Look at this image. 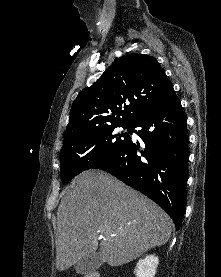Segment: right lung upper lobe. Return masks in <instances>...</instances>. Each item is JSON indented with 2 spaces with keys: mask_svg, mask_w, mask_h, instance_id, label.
Masks as SVG:
<instances>
[{
  "mask_svg": "<svg viewBox=\"0 0 221 277\" xmlns=\"http://www.w3.org/2000/svg\"><path fill=\"white\" fill-rule=\"evenodd\" d=\"M173 90L158 61L133 53L117 60L72 104L65 140L104 125L133 122Z\"/></svg>",
  "mask_w": 221,
  "mask_h": 277,
  "instance_id": "right-lung-upper-lobe-1",
  "label": "right lung upper lobe"
}]
</instances>
